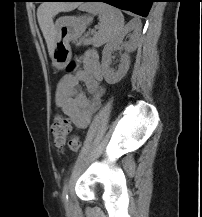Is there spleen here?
Segmentation results:
<instances>
[{
  "mask_svg": "<svg viewBox=\"0 0 202 217\" xmlns=\"http://www.w3.org/2000/svg\"><path fill=\"white\" fill-rule=\"evenodd\" d=\"M80 10L99 15V30L93 37V45L99 47L114 39L124 28L121 11L105 3H85Z\"/></svg>",
  "mask_w": 202,
  "mask_h": 217,
  "instance_id": "obj_1",
  "label": "spleen"
}]
</instances>
